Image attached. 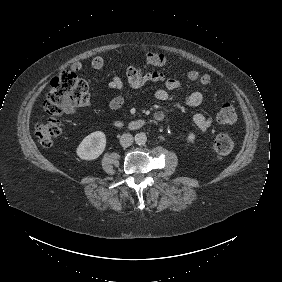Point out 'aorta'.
<instances>
[{"label":"aorta","instance_id":"obj_1","mask_svg":"<svg viewBox=\"0 0 282 282\" xmlns=\"http://www.w3.org/2000/svg\"><path fill=\"white\" fill-rule=\"evenodd\" d=\"M134 141L137 145H144L147 142V136L143 132L136 133Z\"/></svg>","mask_w":282,"mask_h":282}]
</instances>
